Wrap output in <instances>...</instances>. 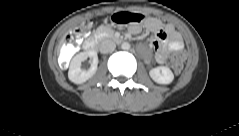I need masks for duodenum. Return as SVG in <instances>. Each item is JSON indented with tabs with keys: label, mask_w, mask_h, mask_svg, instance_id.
Here are the masks:
<instances>
[{
	"label": "duodenum",
	"mask_w": 239,
	"mask_h": 136,
	"mask_svg": "<svg viewBox=\"0 0 239 136\" xmlns=\"http://www.w3.org/2000/svg\"><path fill=\"white\" fill-rule=\"evenodd\" d=\"M115 40L118 43H122L124 42V39L121 37H116ZM83 49L87 50V51H93L96 49L97 47V40L92 38V39H88L86 40L83 44H82Z\"/></svg>",
	"instance_id": "obj_1"
}]
</instances>
